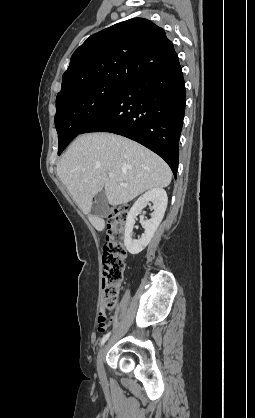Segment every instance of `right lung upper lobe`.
Here are the masks:
<instances>
[{
    "instance_id": "1",
    "label": "right lung upper lobe",
    "mask_w": 255,
    "mask_h": 418,
    "mask_svg": "<svg viewBox=\"0 0 255 418\" xmlns=\"http://www.w3.org/2000/svg\"><path fill=\"white\" fill-rule=\"evenodd\" d=\"M177 61L174 46L162 28L147 19L133 18L86 39L72 55L58 95L100 81L129 84Z\"/></svg>"
}]
</instances>
